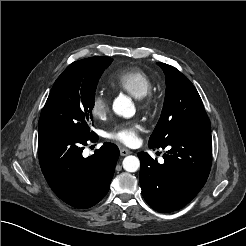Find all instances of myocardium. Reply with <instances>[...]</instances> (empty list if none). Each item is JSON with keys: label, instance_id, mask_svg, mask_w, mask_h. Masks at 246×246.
I'll return each instance as SVG.
<instances>
[{"label": "myocardium", "instance_id": "myocardium-1", "mask_svg": "<svg viewBox=\"0 0 246 246\" xmlns=\"http://www.w3.org/2000/svg\"><path fill=\"white\" fill-rule=\"evenodd\" d=\"M140 100V106L144 109H149L154 102L153 96L151 93H148L146 96L143 98L139 99Z\"/></svg>", "mask_w": 246, "mask_h": 246}]
</instances>
